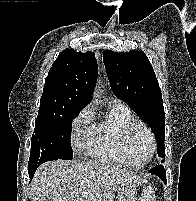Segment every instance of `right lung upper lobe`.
<instances>
[{"label":"right lung upper lobe","mask_w":196,"mask_h":201,"mask_svg":"<svg viewBox=\"0 0 196 201\" xmlns=\"http://www.w3.org/2000/svg\"><path fill=\"white\" fill-rule=\"evenodd\" d=\"M98 65L92 52L63 50L45 80L39 112L82 109L92 100Z\"/></svg>","instance_id":"cb5924a9"}]
</instances>
